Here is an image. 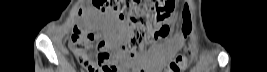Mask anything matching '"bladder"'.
Returning <instances> with one entry per match:
<instances>
[{
    "instance_id": "1",
    "label": "bladder",
    "mask_w": 267,
    "mask_h": 72,
    "mask_svg": "<svg viewBox=\"0 0 267 72\" xmlns=\"http://www.w3.org/2000/svg\"><path fill=\"white\" fill-rule=\"evenodd\" d=\"M112 21L114 22L113 26H115V23H117V20L115 18H112Z\"/></svg>"
}]
</instances>
